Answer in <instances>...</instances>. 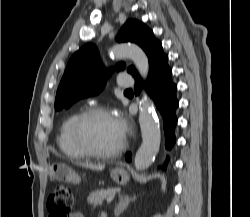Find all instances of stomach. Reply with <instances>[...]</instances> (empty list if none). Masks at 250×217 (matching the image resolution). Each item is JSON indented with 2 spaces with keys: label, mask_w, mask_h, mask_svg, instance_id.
Listing matches in <instances>:
<instances>
[{
  "label": "stomach",
  "mask_w": 250,
  "mask_h": 217,
  "mask_svg": "<svg viewBox=\"0 0 250 217\" xmlns=\"http://www.w3.org/2000/svg\"><path fill=\"white\" fill-rule=\"evenodd\" d=\"M51 176L62 182L77 184L81 181L76 172L65 164H54L50 169ZM111 178L119 184L126 183L129 180L128 172L122 167H116L111 171Z\"/></svg>",
  "instance_id": "0dacf381"
}]
</instances>
